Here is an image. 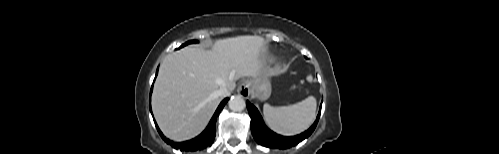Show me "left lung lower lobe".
<instances>
[{
    "label": "left lung lower lobe",
    "instance_id": "obj_1",
    "mask_svg": "<svg viewBox=\"0 0 499 154\" xmlns=\"http://www.w3.org/2000/svg\"><path fill=\"white\" fill-rule=\"evenodd\" d=\"M246 105L251 117V132L256 142L265 147L278 149L290 148L309 137L316 128L322 106L321 104L316 121L308 130L297 136L285 137L274 133L265 126L260 113L254 105H252L249 101L246 102Z\"/></svg>",
    "mask_w": 499,
    "mask_h": 154
}]
</instances>
